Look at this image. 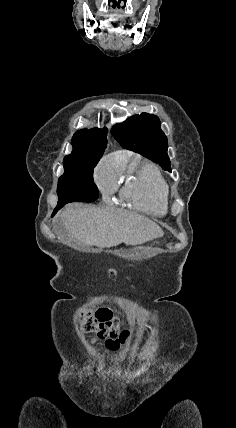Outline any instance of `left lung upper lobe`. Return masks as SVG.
<instances>
[{"mask_svg":"<svg viewBox=\"0 0 236 428\" xmlns=\"http://www.w3.org/2000/svg\"><path fill=\"white\" fill-rule=\"evenodd\" d=\"M160 125L157 116L142 113L115 125L111 133L123 148L140 153L171 172L167 138Z\"/></svg>","mask_w":236,"mask_h":428,"instance_id":"5c2ea615","label":"left lung upper lobe"}]
</instances>
